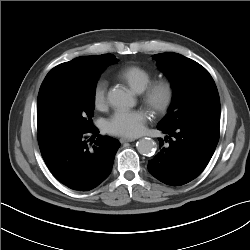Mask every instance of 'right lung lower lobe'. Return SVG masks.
<instances>
[{
    "instance_id": "obj_1",
    "label": "right lung lower lobe",
    "mask_w": 250,
    "mask_h": 250,
    "mask_svg": "<svg viewBox=\"0 0 250 250\" xmlns=\"http://www.w3.org/2000/svg\"><path fill=\"white\" fill-rule=\"evenodd\" d=\"M86 133H98V129L94 127ZM86 133L38 140L42 157L54 177L78 191H89L108 177L120 147V142L112 137L98 135L96 140H87Z\"/></svg>"
}]
</instances>
